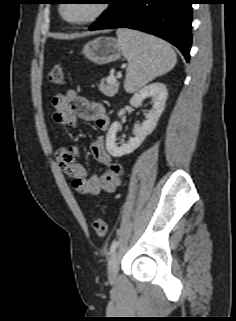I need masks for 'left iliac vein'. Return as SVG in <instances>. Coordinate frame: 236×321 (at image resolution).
I'll return each instance as SVG.
<instances>
[{"mask_svg": "<svg viewBox=\"0 0 236 321\" xmlns=\"http://www.w3.org/2000/svg\"><path fill=\"white\" fill-rule=\"evenodd\" d=\"M117 269H118V255L114 252L108 261L107 273L108 279L110 282H114L117 277Z\"/></svg>", "mask_w": 236, "mask_h": 321, "instance_id": "4c4485c4", "label": "left iliac vein"}]
</instances>
